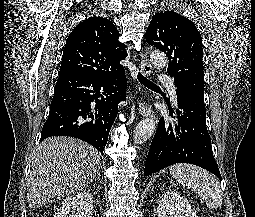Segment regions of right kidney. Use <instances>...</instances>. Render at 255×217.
<instances>
[{"mask_svg": "<svg viewBox=\"0 0 255 217\" xmlns=\"http://www.w3.org/2000/svg\"><path fill=\"white\" fill-rule=\"evenodd\" d=\"M93 208L92 195L83 191L62 202L53 217H93Z\"/></svg>", "mask_w": 255, "mask_h": 217, "instance_id": "right-kidney-1", "label": "right kidney"}]
</instances>
